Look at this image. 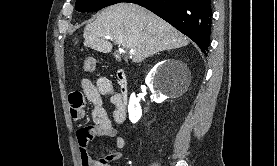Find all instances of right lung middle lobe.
<instances>
[{
    "mask_svg": "<svg viewBox=\"0 0 277 166\" xmlns=\"http://www.w3.org/2000/svg\"><path fill=\"white\" fill-rule=\"evenodd\" d=\"M121 1L122 0H77L75 9L80 12L95 11Z\"/></svg>",
    "mask_w": 277,
    "mask_h": 166,
    "instance_id": "dd1d6c3e",
    "label": "right lung middle lobe"
}]
</instances>
